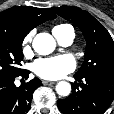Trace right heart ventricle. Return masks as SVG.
I'll return each instance as SVG.
<instances>
[{
	"instance_id": "1",
	"label": "right heart ventricle",
	"mask_w": 114,
	"mask_h": 114,
	"mask_svg": "<svg viewBox=\"0 0 114 114\" xmlns=\"http://www.w3.org/2000/svg\"><path fill=\"white\" fill-rule=\"evenodd\" d=\"M69 27H71L70 25L68 24H59V25H56L54 28H53V34L55 35H61L65 30H67Z\"/></svg>"
}]
</instances>
